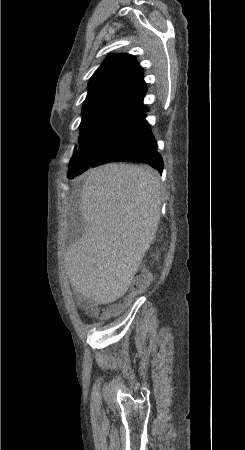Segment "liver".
I'll return each mask as SVG.
<instances>
[{
  "instance_id": "obj_1",
  "label": "liver",
  "mask_w": 245,
  "mask_h": 450,
  "mask_svg": "<svg viewBox=\"0 0 245 450\" xmlns=\"http://www.w3.org/2000/svg\"><path fill=\"white\" fill-rule=\"evenodd\" d=\"M161 196L147 166L112 163L87 172L80 197L85 234L65 256L75 291L100 304L127 292L155 238Z\"/></svg>"
}]
</instances>
